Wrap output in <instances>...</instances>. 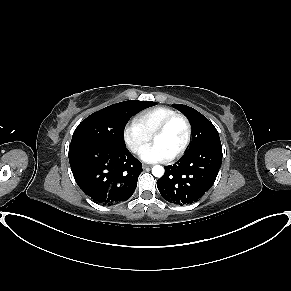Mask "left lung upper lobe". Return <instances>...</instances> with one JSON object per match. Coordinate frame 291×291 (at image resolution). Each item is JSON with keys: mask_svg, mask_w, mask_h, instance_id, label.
<instances>
[{"mask_svg": "<svg viewBox=\"0 0 291 291\" xmlns=\"http://www.w3.org/2000/svg\"><path fill=\"white\" fill-rule=\"evenodd\" d=\"M172 107L182 112L192 127V142L187 152L208 142L220 140L214 125L197 110L182 104H172Z\"/></svg>", "mask_w": 291, "mask_h": 291, "instance_id": "1", "label": "left lung upper lobe"}]
</instances>
